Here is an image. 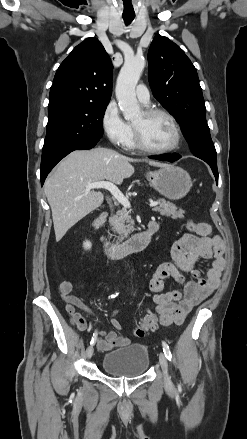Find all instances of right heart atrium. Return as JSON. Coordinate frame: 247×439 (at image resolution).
<instances>
[{
	"instance_id": "right-heart-atrium-1",
	"label": "right heart atrium",
	"mask_w": 247,
	"mask_h": 439,
	"mask_svg": "<svg viewBox=\"0 0 247 439\" xmlns=\"http://www.w3.org/2000/svg\"><path fill=\"white\" fill-rule=\"evenodd\" d=\"M101 126L112 144L125 146L131 134V126L122 118L114 102H110L105 107L101 117Z\"/></svg>"
}]
</instances>
